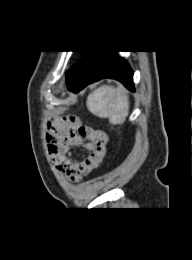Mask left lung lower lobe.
<instances>
[{
  "instance_id": "0a47b994",
  "label": "left lung lower lobe",
  "mask_w": 192,
  "mask_h": 260,
  "mask_svg": "<svg viewBox=\"0 0 192 260\" xmlns=\"http://www.w3.org/2000/svg\"><path fill=\"white\" fill-rule=\"evenodd\" d=\"M103 78L116 79L127 89L134 91L133 72L128 63L118 57L115 51H100L90 62L75 92Z\"/></svg>"
}]
</instances>
